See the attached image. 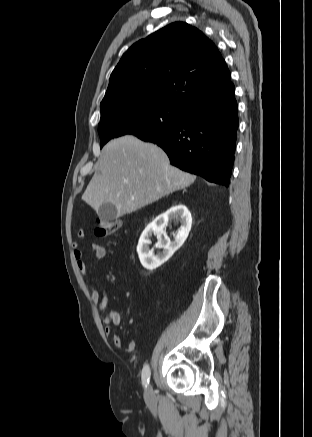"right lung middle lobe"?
Returning a JSON list of instances; mask_svg holds the SVG:
<instances>
[{"instance_id":"obj_1","label":"right lung middle lobe","mask_w":312,"mask_h":437,"mask_svg":"<svg viewBox=\"0 0 312 437\" xmlns=\"http://www.w3.org/2000/svg\"><path fill=\"white\" fill-rule=\"evenodd\" d=\"M186 109L161 102L132 103L118 107L101 117L98 133L100 147L110 139L133 134L144 140L178 125Z\"/></svg>"}]
</instances>
